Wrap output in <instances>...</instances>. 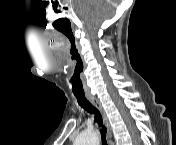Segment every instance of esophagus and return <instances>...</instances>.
Masks as SVG:
<instances>
[{
    "mask_svg": "<svg viewBox=\"0 0 176 145\" xmlns=\"http://www.w3.org/2000/svg\"><path fill=\"white\" fill-rule=\"evenodd\" d=\"M88 100L98 109V111L100 112L102 118H103V122L107 128L108 134L110 135V124L107 118V115L101 105V103L99 102V100H97L95 97L88 95L87 96Z\"/></svg>",
    "mask_w": 176,
    "mask_h": 145,
    "instance_id": "34e87169",
    "label": "esophagus"
}]
</instances>
